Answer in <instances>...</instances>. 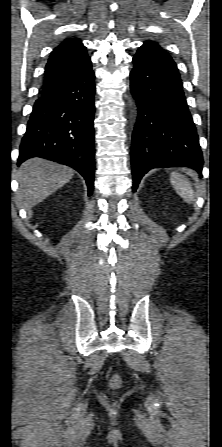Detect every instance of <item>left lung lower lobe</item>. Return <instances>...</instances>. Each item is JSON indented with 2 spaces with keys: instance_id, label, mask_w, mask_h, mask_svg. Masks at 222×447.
Wrapping results in <instances>:
<instances>
[{
  "instance_id": "left-lung-lower-lobe-1",
  "label": "left lung lower lobe",
  "mask_w": 222,
  "mask_h": 447,
  "mask_svg": "<svg viewBox=\"0 0 222 447\" xmlns=\"http://www.w3.org/2000/svg\"><path fill=\"white\" fill-rule=\"evenodd\" d=\"M131 91L138 107L132 136L133 191L150 169L186 166L202 173L203 158L175 62L155 42L133 57Z\"/></svg>"
}]
</instances>
